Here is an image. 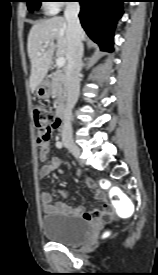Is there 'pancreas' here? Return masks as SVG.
<instances>
[{
	"instance_id": "cf45deb5",
	"label": "pancreas",
	"mask_w": 158,
	"mask_h": 275,
	"mask_svg": "<svg viewBox=\"0 0 158 275\" xmlns=\"http://www.w3.org/2000/svg\"><path fill=\"white\" fill-rule=\"evenodd\" d=\"M50 86L51 94L57 99V103L64 102L66 99V78L61 71L53 73Z\"/></svg>"
}]
</instances>
